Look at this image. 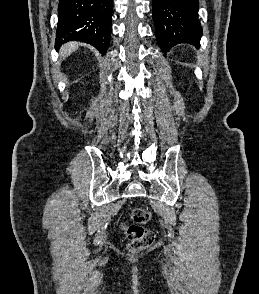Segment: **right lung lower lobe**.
Listing matches in <instances>:
<instances>
[{"mask_svg": "<svg viewBox=\"0 0 259 294\" xmlns=\"http://www.w3.org/2000/svg\"><path fill=\"white\" fill-rule=\"evenodd\" d=\"M113 0H60L55 47L81 41L105 54L110 43Z\"/></svg>", "mask_w": 259, "mask_h": 294, "instance_id": "right-lung-lower-lobe-1", "label": "right lung lower lobe"}]
</instances>
